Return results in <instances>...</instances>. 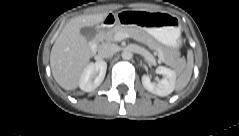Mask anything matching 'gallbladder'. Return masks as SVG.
<instances>
[{"label": "gallbladder", "instance_id": "1", "mask_svg": "<svg viewBox=\"0 0 239 136\" xmlns=\"http://www.w3.org/2000/svg\"><path fill=\"white\" fill-rule=\"evenodd\" d=\"M81 35L87 40L94 39L96 31L94 27H82L80 30Z\"/></svg>", "mask_w": 239, "mask_h": 136}]
</instances>
